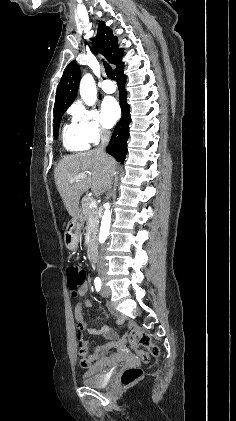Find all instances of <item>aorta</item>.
<instances>
[{"mask_svg":"<svg viewBox=\"0 0 236 421\" xmlns=\"http://www.w3.org/2000/svg\"><path fill=\"white\" fill-rule=\"evenodd\" d=\"M80 94L81 98H83L86 104H94L96 100V84L92 74H84L83 78H81L80 82ZM104 215L101 221L100 233H99V241L100 243H105L108 235L109 229L111 225V213L109 211L110 204L109 202H105L104 204Z\"/></svg>","mask_w":236,"mask_h":421,"instance_id":"762f6f07","label":"aorta"}]
</instances>
